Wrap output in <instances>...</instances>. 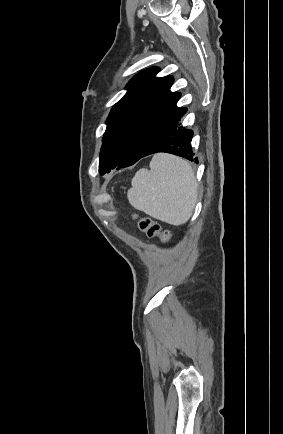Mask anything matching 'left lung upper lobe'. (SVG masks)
<instances>
[{
    "label": "left lung upper lobe",
    "mask_w": 283,
    "mask_h": 434,
    "mask_svg": "<svg viewBox=\"0 0 283 434\" xmlns=\"http://www.w3.org/2000/svg\"><path fill=\"white\" fill-rule=\"evenodd\" d=\"M158 71L154 67L134 76L127 85V93L113 106L102 139L101 175L120 163L137 162L177 111L180 93L170 91L173 77H156Z\"/></svg>",
    "instance_id": "obj_1"
}]
</instances>
